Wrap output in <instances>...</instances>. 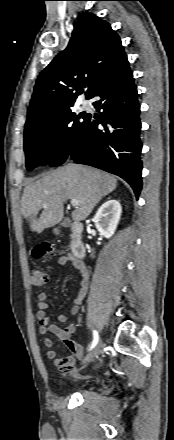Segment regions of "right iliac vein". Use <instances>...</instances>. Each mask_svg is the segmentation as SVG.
<instances>
[{
    "mask_svg": "<svg viewBox=\"0 0 174 440\" xmlns=\"http://www.w3.org/2000/svg\"><path fill=\"white\" fill-rule=\"evenodd\" d=\"M101 348V342L97 343L94 349L86 356L83 361V364L90 363L95 360V358L99 355Z\"/></svg>",
    "mask_w": 174,
    "mask_h": 440,
    "instance_id": "obj_1",
    "label": "right iliac vein"
}]
</instances>
